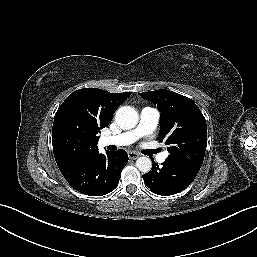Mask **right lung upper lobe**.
Instances as JSON below:
<instances>
[{
  "instance_id": "obj_1",
  "label": "right lung upper lobe",
  "mask_w": 257,
  "mask_h": 257,
  "mask_svg": "<svg viewBox=\"0 0 257 257\" xmlns=\"http://www.w3.org/2000/svg\"><path fill=\"white\" fill-rule=\"evenodd\" d=\"M131 92L109 93L90 88L71 93L58 108L52 142L57 165L73 162L98 150L100 129L111 122L115 110Z\"/></svg>"
}]
</instances>
